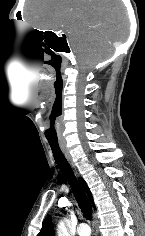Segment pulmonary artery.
<instances>
[{
  "label": "pulmonary artery",
  "mask_w": 145,
  "mask_h": 236,
  "mask_svg": "<svg viewBox=\"0 0 145 236\" xmlns=\"http://www.w3.org/2000/svg\"><path fill=\"white\" fill-rule=\"evenodd\" d=\"M90 227L87 223H81L77 227L78 236H90Z\"/></svg>",
  "instance_id": "1"
}]
</instances>
